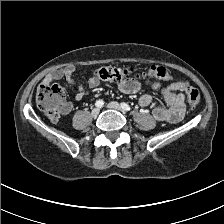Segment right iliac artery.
<instances>
[{"instance_id": "82829eb1", "label": "right iliac artery", "mask_w": 224, "mask_h": 224, "mask_svg": "<svg viewBox=\"0 0 224 224\" xmlns=\"http://www.w3.org/2000/svg\"><path fill=\"white\" fill-rule=\"evenodd\" d=\"M95 105H96V107L101 108L104 105V101L103 100H98V101H96Z\"/></svg>"}]
</instances>
